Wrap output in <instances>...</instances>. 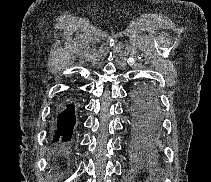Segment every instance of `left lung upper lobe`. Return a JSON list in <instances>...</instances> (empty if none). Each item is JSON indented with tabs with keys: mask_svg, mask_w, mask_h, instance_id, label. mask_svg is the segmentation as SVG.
Wrapping results in <instances>:
<instances>
[{
	"mask_svg": "<svg viewBox=\"0 0 211 182\" xmlns=\"http://www.w3.org/2000/svg\"><path fill=\"white\" fill-rule=\"evenodd\" d=\"M134 114H135V116H136V118L150 131V132H152V130L149 128V126L146 124V123H144L140 118H139V116H138V114H137V109H136V107H134Z\"/></svg>",
	"mask_w": 211,
	"mask_h": 182,
	"instance_id": "1",
	"label": "left lung upper lobe"
}]
</instances>
